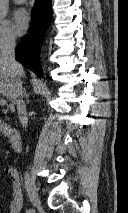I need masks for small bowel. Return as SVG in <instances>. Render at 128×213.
Segmentation results:
<instances>
[{
	"instance_id": "1",
	"label": "small bowel",
	"mask_w": 128,
	"mask_h": 213,
	"mask_svg": "<svg viewBox=\"0 0 128 213\" xmlns=\"http://www.w3.org/2000/svg\"><path fill=\"white\" fill-rule=\"evenodd\" d=\"M4 174L10 180L12 196L9 200V213H20L22 208V189L20 186L19 173L13 166H6Z\"/></svg>"
}]
</instances>
